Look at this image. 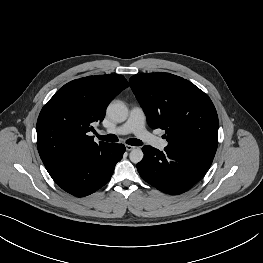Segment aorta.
<instances>
[{
  "instance_id": "1",
  "label": "aorta",
  "mask_w": 263,
  "mask_h": 263,
  "mask_svg": "<svg viewBox=\"0 0 263 263\" xmlns=\"http://www.w3.org/2000/svg\"><path fill=\"white\" fill-rule=\"evenodd\" d=\"M108 116L115 122H124L128 117V108L122 101H112L107 107ZM144 154L140 148L133 149L129 158L133 163H139L142 161Z\"/></svg>"
}]
</instances>
